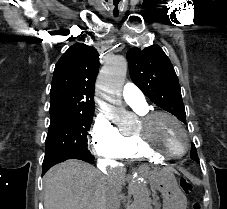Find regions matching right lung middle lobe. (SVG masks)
I'll return each mask as SVG.
<instances>
[{
	"mask_svg": "<svg viewBox=\"0 0 227 209\" xmlns=\"http://www.w3.org/2000/svg\"><path fill=\"white\" fill-rule=\"evenodd\" d=\"M50 112L49 132L45 141L43 171L50 159L64 154H89L87 134L94 115V101L64 99Z\"/></svg>",
	"mask_w": 227,
	"mask_h": 209,
	"instance_id": "1",
	"label": "right lung middle lobe"
}]
</instances>
